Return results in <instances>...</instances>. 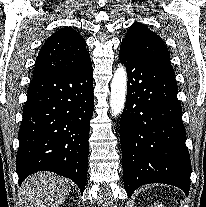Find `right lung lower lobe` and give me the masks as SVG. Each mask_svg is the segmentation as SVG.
Instances as JSON below:
<instances>
[{
	"label": "right lung lower lobe",
	"instance_id": "98d812e1",
	"mask_svg": "<svg viewBox=\"0 0 206 207\" xmlns=\"http://www.w3.org/2000/svg\"><path fill=\"white\" fill-rule=\"evenodd\" d=\"M91 59L63 74L33 79L18 133L19 184L37 171L73 180L83 194L94 95Z\"/></svg>",
	"mask_w": 206,
	"mask_h": 207
}]
</instances>
